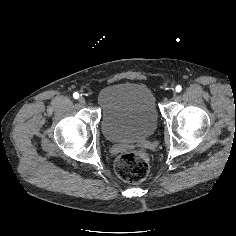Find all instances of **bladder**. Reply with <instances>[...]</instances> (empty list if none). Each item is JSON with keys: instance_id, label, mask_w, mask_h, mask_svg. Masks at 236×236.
<instances>
[{"instance_id": "31cf9c89", "label": "bladder", "mask_w": 236, "mask_h": 236, "mask_svg": "<svg viewBox=\"0 0 236 236\" xmlns=\"http://www.w3.org/2000/svg\"><path fill=\"white\" fill-rule=\"evenodd\" d=\"M101 129L111 143L135 142L157 129L159 114L153 91L134 82L109 85L97 95Z\"/></svg>"}]
</instances>
